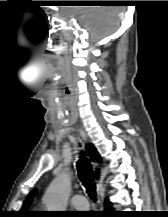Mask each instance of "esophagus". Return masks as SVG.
<instances>
[{"mask_svg":"<svg viewBox=\"0 0 168 217\" xmlns=\"http://www.w3.org/2000/svg\"><path fill=\"white\" fill-rule=\"evenodd\" d=\"M80 135L82 136V138L84 140H86V134H85V132L83 130H80Z\"/></svg>","mask_w":168,"mask_h":217,"instance_id":"34e87169","label":"esophagus"}]
</instances>
